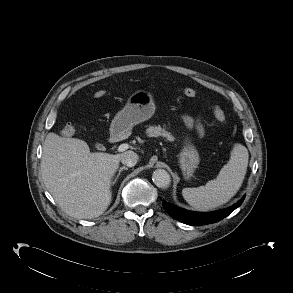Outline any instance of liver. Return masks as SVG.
<instances>
[{
	"mask_svg": "<svg viewBox=\"0 0 293 293\" xmlns=\"http://www.w3.org/2000/svg\"><path fill=\"white\" fill-rule=\"evenodd\" d=\"M122 154L91 153L85 141L50 132L43 143L41 176L66 214L91 219L111 203L112 177Z\"/></svg>",
	"mask_w": 293,
	"mask_h": 293,
	"instance_id": "6515ba94",
	"label": "liver"
}]
</instances>
